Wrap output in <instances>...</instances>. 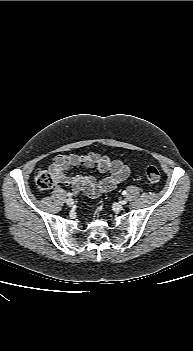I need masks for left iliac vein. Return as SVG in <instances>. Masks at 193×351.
Segmentation results:
<instances>
[{"instance_id":"obj_1","label":"left iliac vein","mask_w":193,"mask_h":351,"mask_svg":"<svg viewBox=\"0 0 193 351\" xmlns=\"http://www.w3.org/2000/svg\"><path fill=\"white\" fill-rule=\"evenodd\" d=\"M126 203H127V200L125 199L120 202L121 205H125Z\"/></svg>"}]
</instances>
